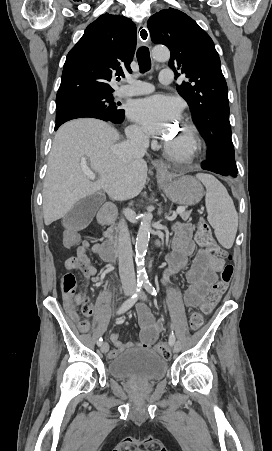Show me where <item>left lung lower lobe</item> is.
I'll return each instance as SVG.
<instances>
[{
    "instance_id": "obj_1",
    "label": "left lung lower lobe",
    "mask_w": 272,
    "mask_h": 451,
    "mask_svg": "<svg viewBox=\"0 0 272 451\" xmlns=\"http://www.w3.org/2000/svg\"><path fill=\"white\" fill-rule=\"evenodd\" d=\"M202 168L205 170H209V171L221 174L223 176H228V177H232V178L236 177V174L231 173L227 169L223 168L222 166H220L219 164L214 163V162L207 161L203 164Z\"/></svg>"
}]
</instances>
